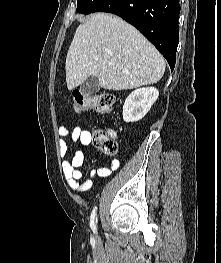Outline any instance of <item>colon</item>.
Masks as SVG:
<instances>
[{"label":"colon","instance_id":"1","mask_svg":"<svg viewBox=\"0 0 221 263\" xmlns=\"http://www.w3.org/2000/svg\"><path fill=\"white\" fill-rule=\"evenodd\" d=\"M114 103L115 98L111 94L91 96L80 93L73 95V107L76 112L94 110L101 113H107L111 110ZM112 137V131L103 132L102 130H96L93 134V140L95 143L100 145L109 155L116 152V145L113 142Z\"/></svg>","mask_w":221,"mask_h":263}]
</instances>
